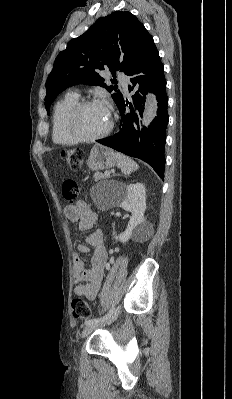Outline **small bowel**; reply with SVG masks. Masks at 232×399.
Here are the masks:
<instances>
[{
  "label": "small bowel",
  "mask_w": 232,
  "mask_h": 399,
  "mask_svg": "<svg viewBox=\"0 0 232 399\" xmlns=\"http://www.w3.org/2000/svg\"><path fill=\"white\" fill-rule=\"evenodd\" d=\"M64 213L79 217L80 230L91 229L95 224L94 209L87 199H77L73 204L64 208ZM88 244L94 246L89 268L84 267L77 255L71 256V263L74 268L73 293L76 296L87 295L90 302L96 304L97 294L102 282V267L107 260L104 249V235L101 232H95L87 239L79 241L77 244L78 251L87 252Z\"/></svg>",
  "instance_id": "c3829d8e"
}]
</instances>
